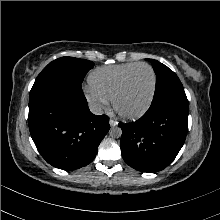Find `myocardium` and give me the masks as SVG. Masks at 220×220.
<instances>
[{
  "instance_id": "obj_1",
  "label": "myocardium",
  "mask_w": 220,
  "mask_h": 220,
  "mask_svg": "<svg viewBox=\"0 0 220 220\" xmlns=\"http://www.w3.org/2000/svg\"><path fill=\"white\" fill-rule=\"evenodd\" d=\"M139 67L148 68L150 70L151 74H152V89H151L149 99H148L147 103L145 104V106L137 112H134V113L122 112L117 107L118 98L123 93V91H124V89L127 85V82L129 80L130 76L132 75V73L136 69H138ZM156 87H157V76H156V72H155L154 68L150 64L144 63V62L136 64L133 68H131L125 74V76L122 78L121 82L119 83L118 87L116 88L115 92L113 93V96H112V99H111L113 109L116 111V113L119 116H121L124 119L135 120V119H138V118L142 117L149 110V108L152 105V102L154 100V96H155V93H156Z\"/></svg>"
}]
</instances>
